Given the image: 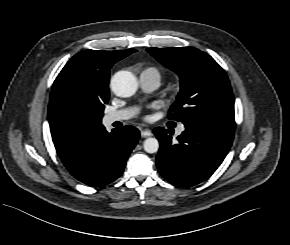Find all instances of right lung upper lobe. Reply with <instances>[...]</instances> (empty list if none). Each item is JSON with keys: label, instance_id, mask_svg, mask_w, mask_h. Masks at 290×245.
<instances>
[{"label": "right lung upper lobe", "instance_id": "1", "mask_svg": "<svg viewBox=\"0 0 290 245\" xmlns=\"http://www.w3.org/2000/svg\"><path fill=\"white\" fill-rule=\"evenodd\" d=\"M136 52L85 50L74 55L54 81L48 108L52 140L60 158L82 146L104 126L88 100L74 91L77 83L96 87L100 94L109 93L110 68L117 61Z\"/></svg>", "mask_w": 290, "mask_h": 245}]
</instances>
